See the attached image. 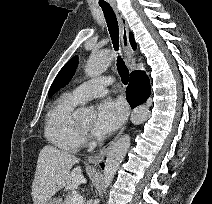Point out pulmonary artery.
I'll return each mask as SVG.
<instances>
[{
	"mask_svg": "<svg viewBox=\"0 0 212 204\" xmlns=\"http://www.w3.org/2000/svg\"><path fill=\"white\" fill-rule=\"evenodd\" d=\"M112 82L110 77L94 78L77 86L71 94L76 100L83 103L92 98L105 95Z\"/></svg>",
	"mask_w": 212,
	"mask_h": 204,
	"instance_id": "obj_1",
	"label": "pulmonary artery"
}]
</instances>
